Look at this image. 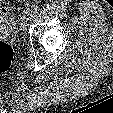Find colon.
<instances>
[{
  "mask_svg": "<svg viewBox=\"0 0 113 113\" xmlns=\"http://www.w3.org/2000/svg\"><path fill=\"white\" fill-rule=\"evenodd\" d=\"M11 8L9 6L1 7L0 14H9ZM14 59L13 48L6 42L0 40V73L9 69Z\"/></svg>",
  "mask_w": 113,
  "mask_h": 113,
  "instance_id": "5ec220e1",
  "label": "colon"
}]
</instances>
